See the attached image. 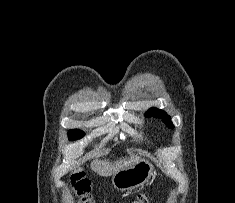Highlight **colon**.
I'll list each match as a JSON object with an SVG mask.
<instances>
[{
  "mask_svg": "<svg viewBox=\"0 0 235 203\" xmlns=\"http://www.w3.org/2000/svg\"><path fill=\"white\" fill-rule=\"evenodd\" d=\"M71 186L76 196L77 203H95L91 194V182L82 175H74L72 177ZM148 196L140 194L131 203H148Z\"/></svg>",
  "mask_w": 235,
  "mask_h": 203,
  "instance_id": "colon-1",
  "label": "colon"
}]
</instances>
